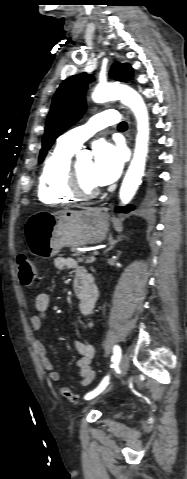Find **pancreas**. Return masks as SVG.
Masks as SVG:
<instances>
[{"label": "pancreas", "mask_w": 187, "mask_h": 479, "mask_svg": "<svg viewBox=\"0 0 187 479\" xmlns=\"http://www.w3.org/2000/svg\"><path fill=\"white\" fill-rule=\"evenodd\" d=\"M73 256L77 258L78 262H83L85 260L87 263H91L94 261L93 257L87 258L81 252H75Z\"/></svg>", "instance_id": "1"}]
</instances>
